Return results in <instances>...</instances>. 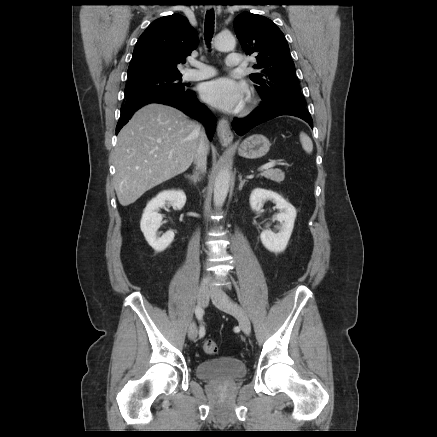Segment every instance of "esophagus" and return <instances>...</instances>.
Returning a JSON list of instances; mask_svg holds the SVG:
<instances>
[{
	"instance_id": "obj_1",
	"label": "esophagus",
	"mask_w": 437,
	"mask_h": 437,
	"mask_svg": "<svg viewBox=\"0 0 437 437\" xmlns=\"http://www.w3.org/2000/svg\"><path fill=\"white\" fill-rule=\"evenodd\" d=\"M209 9L211 7H208ZM217 135L222 145H230L233 141V133L230 129L229 121L225 118H221L217 125Z\"/></svg>"
}]
</instances>
